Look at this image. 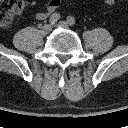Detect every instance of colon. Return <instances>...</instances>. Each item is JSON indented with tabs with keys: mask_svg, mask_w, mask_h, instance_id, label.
<instances>
[{
	"mask_svg": "<svg viewBox=\"0 0 128 128\" xmlns=\"http://www.w3.org/2000/svg\"><path fill=\"white\" fill-rule=\"evenodd\" d=\"M112 5L116 0H103ZM26 5V0H0V28H7Z\"/></svg>",
	"mask_w": 128,
	"mask_h": 128,
	"instance_id": "5ec220e1",
	"label": "colon"
}]
</instances>
